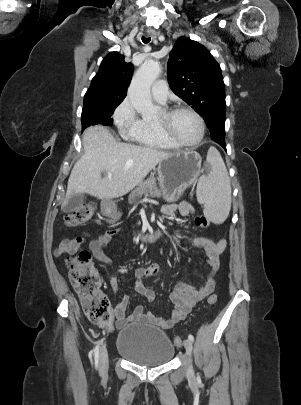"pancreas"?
<instances>
[{
	"label": "pancreas",
	"mask_w": 301,
	"mask_h": 405,
	"mask_svg": "<svg viewBox=\"0 0 301 405\" xmlns=\"http://www.w3.org/2000/svg\"><path fill=\"white\" fill-rule=\"evenodd\" d=\"M143 195H150L152 197H159L160 191L157 188L155 178H148L147 180L138 184V186L129 195V203L135 204Z\"/></svg>",
	"instance_id": "obj_1"
}]
</instances>
